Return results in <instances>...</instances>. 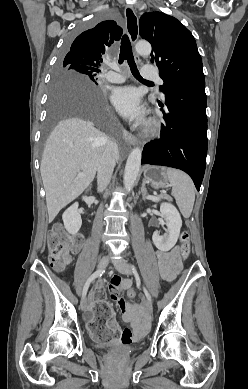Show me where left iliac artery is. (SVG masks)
I'll use <instances>...</instances> for the list:
<instances>
[{"mask_svg": "<svg viewBox=\"0 0 248 389\" xmlns=\"http://www.w3.org/2000/svg\"><path fill=\"white\" fill-rule=\"evenodd\" d=\"M132 270H133V272H136V268L134 266H132ZM144 292H145L147 299L151 301V296L145 288H144Z\"/></svg>", "mask_w": 248, "mask_h": 389, "instance_id": "1", "label": "left iliac artery"}]
</instances>
